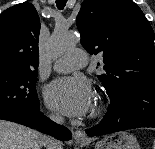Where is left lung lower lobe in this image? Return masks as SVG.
Returning <instances> with one entry per match:
<instances>
[{
	"label": "left lung lower lobe",
	"instance_id": "0a47b994",
	"mask_svg": "<svg viewBox=\"0 0 155 149\" xmlns=\"http://www.w3.org/2000/svg\"><path fill=\"white\" fill-rule=\"evenodd\" d=\"M109 97L111 104L108 113L98 125L86 130L88 136L155 127V81L129 86Z\"/></svg>",
	"mask_w": 155,
	"mask_h": 149
}]
</instances>
